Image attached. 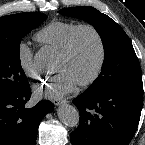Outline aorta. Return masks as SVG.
Instances as JSON below:
<instances>
[{"instance_id": "aorta-1", "label": "aorta", "mask_w": 145, "mask_h": 145, "mask_svg": "<svg viewBox=\"0 0 145 145\" xmlns=\"http://www.w3.org/2000/svg\"><path fill=\"white\" fill-rule=\"evenodd\" d=\"M36 65L43 70H48L53 64V58L48 50H40L35 55ZM60 121L69 127H77L79 124L78 110L69 104H64L58 109Z\"/></svg>"}]
</instances>
